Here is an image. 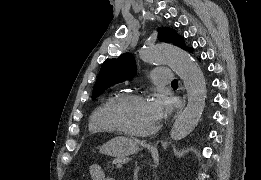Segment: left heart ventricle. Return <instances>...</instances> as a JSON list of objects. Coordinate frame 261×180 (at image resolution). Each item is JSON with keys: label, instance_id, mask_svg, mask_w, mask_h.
<instances>
[{"label": "left heart ventricle", "instance_id": "obj_1", "mask_svg": "<svg viewBox=\"0 0 261 180\" xmlns=\"http://www.w3.org/2000/svg\"><path fill=\"white\" fill-rule=\"evenodd\" d=\"M112 117L124 134L139 137L149 133L156 126L159 112L151 100L143 98L115 108Z\"/></svg>", "mask_w": 261, "mask_h": 180}]
</instances>
